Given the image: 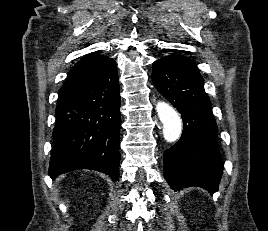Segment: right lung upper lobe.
Masks as SVG:
<instances>
[{
	"label": "right lung upper lobe",
	"instance_id": "right-lung-upper-lobe-1",
	"mask_svg": "<svg viewBox=\"0 0 268 231\" xmlns=\"http://www.w3.org/2000/svg\"><path fill=\"white\" fill-rule=\"evenodd\" d=\"M109 60L110 58L95 53H91L81 59L69 71L65 85L59 90V95L62 97V95L71 85L94 74Z\"/></svg>",
	"mask_w": 268,
	"mask_h": 231
}]
</instances>
